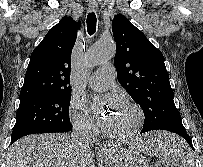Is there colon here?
<instances>
[{"label": "colon", "instance_id": "5ec220e1", "mask_svg": "<svg viewBox=\"0 0 203 167\" xmlns=\"http://www.w3.org/2000/svg\"><path fill=\"white\" fill-rule=\"evenodd\" d=\"M157 167H173V166H171L170 164H168V163H165V162H161V163H159L158 164V166Z\"/></svg>", "mask_w": 203, "mask_h": 167}]
</instances>
